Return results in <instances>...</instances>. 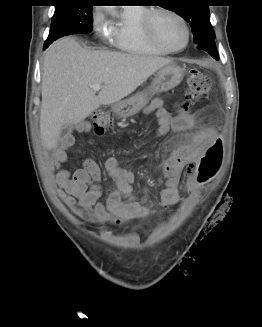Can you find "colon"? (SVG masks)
Listing matches in <instances>:
<instances>
[{
    "label": "colon",
    "mask_w": 262,
    "mask_h": 327,
    "mask_svg": "<svg viewBox=\"0 0 262 327\" xmlns=\"http://www.w3.org/2000/svg\"><path fill=\"white\" fill-rule=\"evenodd\" d=\"M210 79L198 70H192L187 79L185 101L191 105L205 98L210 90ZM114 122L111 112L99 110L93 115V129L101 135L109 130ZM222 142L216 140L208 147L205 154L199 159L195 166L194 181L197 185L207 183L217 172L222 162Z\"/></svg>",
    "instance_id": "1"
}]
</instances>
